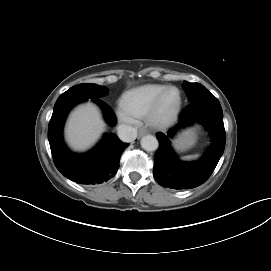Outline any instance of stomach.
<instances>
[{
	"instance_id": "stomach-1",
	"label": "stomach",
	"mask_w": 271,
	"mask_h": 271,
	"mask_svg": "<svg viewBox=\"0 0 271 271\" xmlns=\"http://www.w3.org/2000/svg\"><path fill=\"white\" fill-rule=\"evenodd\" d=\"M197 140L195 128H190L180 133L174 140L173 144L176 150L185 151L191 148Z\"/></svg>"
}]
</instances>
